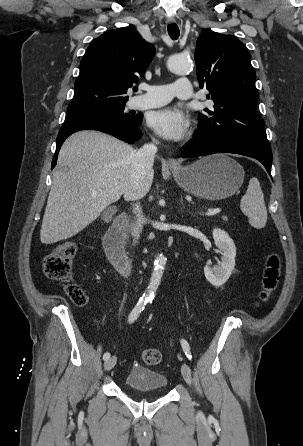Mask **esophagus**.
I'll list each match as a JSON object with an SVG mask.
<instances>
[{
	"label": "esophagus",
	"instance_id": "esophagus-1",
	"mask_svg": "<svg viewBox=\"0 0 303 446\" xmlns=\"http://www.w3.org/2000/svg\"><path fill=\"white\" fill-rule=\"evenodd\" d=\"M167 23L168 24H174V23H176V20H175V18H168L167 19ZM168 164L170 166H172V167H175V166L179 165L178 161L176 159H174V158H169L168 159Z\"/></svg>",
	"mask_w": 303,
	"mask_h": 446
}]
</instances>
